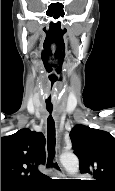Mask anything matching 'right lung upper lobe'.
I'll return each mask as SVG.
<instances>
[{"label":"right lung upper lobe","instance_id":"cb5924a9","mask_svg":"<svg viewBox=\"0 0 115 191\" xmlns=\"http://www.w3.org/2000/svg\"><path fill=\"white\" fill-rule=\"evenodd\" d=\"M44 148V135L27 128L1 137V187L20 189L44 179L37 169L45 162Z\"/></svg>","mask_w":115,"mask_h":191}]
</instances>
